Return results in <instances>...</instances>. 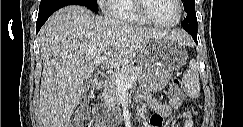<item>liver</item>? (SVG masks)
<instances>
[{
	"instance_id": "liver-1",
	"label": "liver",
	"mask_w": 243,
	"mask_h": 127,
	"mask_svg": "<svg viewBox=\"0 0 243 127\" xmlns=\"http://www.w3.org/2000/svg\"><path fill=\"white\" fill-rule=\"evenodd\" d=\"M182 44L189 37L181 30L149 29L97 16L71 5L55 12L39 32L43 58L39 108L44 127H68L85 92V81L95 70L93 60L104 56L109 68L127 66L157 37Z\"/></svg>"
}]
</instances>
